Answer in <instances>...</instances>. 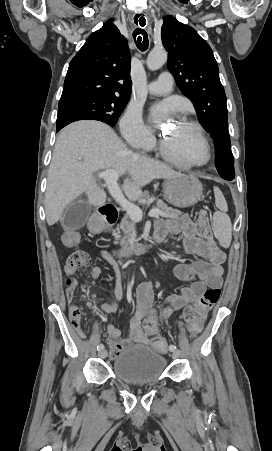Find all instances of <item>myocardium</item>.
Wrapping results in <instances>:
<instances>
[{
	"label": "myocardium",
	"instance_id": "obj_1",
	"mask_svg": "<svg viewBox=\"0 0 272 451\" xmlns=\"http://www.w3.org/2000/svg\"><path fill=\"white\" fill-rule=\"evenodd\" d=\"M179 122L194 131L195 136H196L197 141L200 146L201 154H202V157L199 160H196V161L189 160V161H185V162L188 164V166L190 168H201V167L206 166L211 160V152H210V147H209L208 141L204 136L202 128L196 122L187 120L185 118L180 119ZM161 150L164 155H166V156L171 155L170 159L174 163H179V162L183 161L182 158H180L175 152H173L172 154L170 153V148H169V146L167 144V140L165 138L161 141Z\"/></svg>",
	"mask_w": 272,
	"mask_h": 451
}]
</instances>
